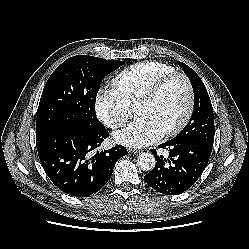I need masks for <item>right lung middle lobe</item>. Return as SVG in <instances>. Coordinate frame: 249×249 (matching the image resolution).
Instances as JSON below:
<instances>
[{"mask_svg": "<svg viewBox=\"0 0 249 249\" xmlns=\"http://www.w3.org/2000/svg\"><path fill=\"white\" fill-rule=\"evenodd\" d=\"M125 62L78 55L65 60L48 79L38 106L36 139L78 126L88 131L105 127L95 113L102 79Z\"/></svg>", "mask_w": 249, "mask_h": 249, "instance_id": "obj_1", "label": "right lung middle lobe"}]
</instances>
